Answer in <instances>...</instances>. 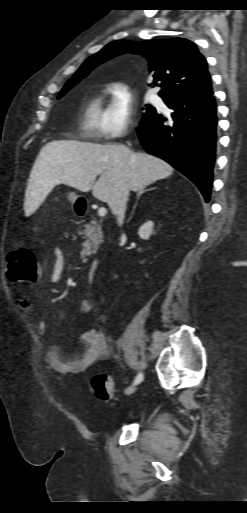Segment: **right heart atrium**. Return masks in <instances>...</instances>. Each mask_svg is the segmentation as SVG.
<instances>
[{
  "label": "right heart atrium",
  "mask_w": 247,
  "mask_h": 513,
  "mask_svg": "<svg viewBox=\"0 0 247 513\" xmlns=\"http://www.w3.org/2000/svg\"><path fill=\"white\" fill-rule=\"evenodd\" d=\"M135 101L127 85L114 82L110 85V101L100 123V136L105 140L123 137L131 126Z\"/></svg>",
  "instance_id": "right-heart-atrium-1"
}]
</instances>
